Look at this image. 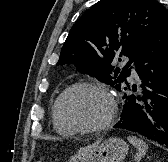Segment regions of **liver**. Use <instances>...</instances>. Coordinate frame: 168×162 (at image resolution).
<instances>
[{
  "instance_id": "6515ba94",
  "label": "liver",
  "mask_w": 168,
  "mask_h": 162,
  "mask_svg": "<svg viewBox=\"0 0 168 162\" xmlns=\"http://www.w3.org/2000/svg\"><path fill=\"white\" fill-rule=\"evenodd\" d=\"M98 143H99V141L96 142V143H94V144H92V145H88L87 147L81 148V149L78 151V154H81V153H83V152H85V151H87V150H89V149H91V148L97 146Z\"/></svg>"
}]
</instances>
